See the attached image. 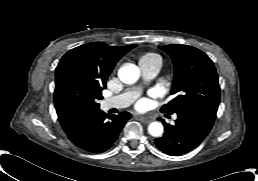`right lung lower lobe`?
<instances>
[{"label": "right lung lower lobe", "mask_w": 258, "mask_h": 181, "mask_svg": "<svg viewBox=\"0 0 258 181\" xmlns=\"http://www.w3.org/2000/svg\"><path fill=\"white\" fill-rule=\"evenodd\" d=\"M57 115L68 138L77 147L91 153L110 149L131 116L123 112L112 115L108 120L99 108H68L57 111Z\"/></svg>", "instance_id": "right-lung-lower-lobe-1"}]
</instances>
